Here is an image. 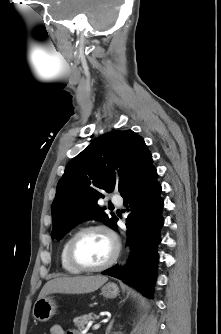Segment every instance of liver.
Instances as JSON below:
<instances>
[{"instance_id":"liver-1","label":"liver","mask_w":221,"mask_h":334,"mask_svg":"<svg viewBox=\"0 0 221 334\" xmlns=\"http://www.w3.org/2000/svg\"><path fill=\"white\" fill-rule=\"evenodd\" d=\"M108 278L101 275L60 277L48 281L38 299L51 293H90L100 288Z\"/></svg>"}]
</instances>
